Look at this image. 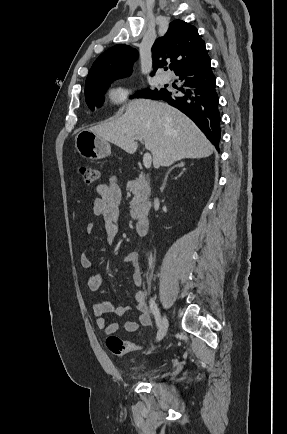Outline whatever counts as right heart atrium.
<instances>
[{"label": "right heart atrium", "instance_id": "1", "mask_svg": "<svg viewBox=\"0 0 287 434\" xmlns=\"http://www.w3.org/2000/svg\"><path fill=\"white\" fill-rule=\"evenodd\" d=\"M134 91L130 86L117 85L109 90L108 97L112 104L123 105L133 96Z\"/></svg>", "mask_w": 287, "mask_h": 434}]
</instances>
